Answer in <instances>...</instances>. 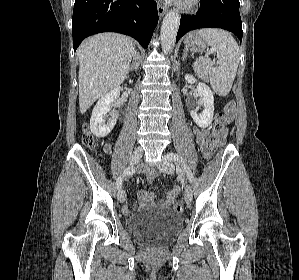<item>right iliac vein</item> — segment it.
I'll return each instance as SVG.
<instances>
[{"label": "right iliac vein", "mask_w": 299, "mask_h": 280, "mask_svg": "<svg viewBox=\"0 0 299 280\" xmlns=\"http://www.w3.org/2000/svg\"><path fill=\"white\" fill-rule=\"evenodd\" d=\"M142 155H143V152L140 148L135 149L130 157V165H132V166L136 165L140 161ZM117 199L120 203H123L125 201L126 193L124 190L120 189L118 191Z\"/></svg>", "instance_id": "right-iliac-vein-1"}]
</instances>
